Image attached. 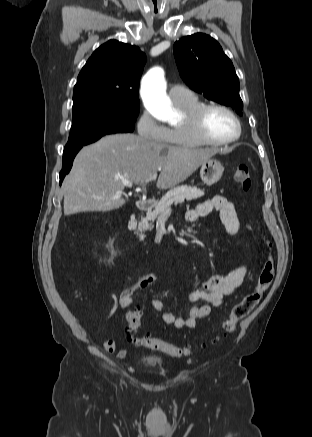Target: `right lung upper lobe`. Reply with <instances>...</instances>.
Listing matches in <instances>:
<instances>
[{
	"mask_svg": "<svg viewBox=\"0 0 312 437\" xmlns=\"http://www.w3.org/2000/svg\"><path fill=\"white\" fill-rule=\"evenodd\" d=\"M146 56L136 46L110 40L94 51L78 75L73 107L91 103L139 104Z\"/></svg>",
	"mask_w": 312,
	"mask_h": 437,
	"instance_id": "right-lung-upper-lobe-1",
	"label": "right lung upper lobe"
}]
</instances>
